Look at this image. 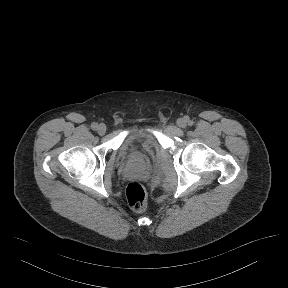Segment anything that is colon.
<instances>
[{
	"label": "colon",
	"instance_id": "1",
	"mask_svg": "<svg viewBox=\"0 0 288 288\" xmlns=\"http://www.w3.org/2000/svg\"><path fill=\"white\" fill-rule=\"evenodd\" d=\"M146 190L137 181H132L128 184L126 189V199L130 208L137 212L142 213L146 209Z\"/></svg>",
	"mask_w": 288,
	"mask_h": 288
}]
</instances>
